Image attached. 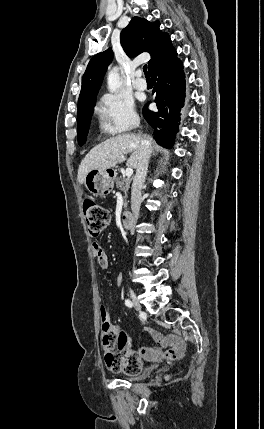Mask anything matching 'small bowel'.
<instances>
[{
    "label": "small bowel",
    "instance_id": "c3829d8e",
    "mask_svg": "<svg viewBox=\"0 0 264 429\" xmlns=\"http://www.w3.org/2000/svg\"><path fill=\"white\" fill-rule=\"evenodd\" d=\"M92 249L101 268L106 269L109 266V258L103 247L95 242L93 243ZM118 282H120V277L118 278ZM147 332L154 339L155 345L141 347L138 351L129 350V354H135L139 360L142 358L150 362L157 361L161 358L175 359L184 354L185 343L180 336L172 334L163 337L160 333L152 329H148Z\"/></svg>",
    "mask_w": 264,
    "mask_h": 429
}]
</instances>
